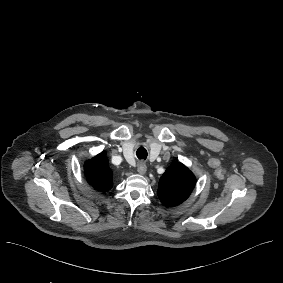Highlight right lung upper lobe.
<instances>
[{
	"instance_id": "obj_1",
	"label": "right lung upper lobe",
	"mask_w": 283,
	"mask_h": 283,
	"mask_svg": "<svg viewBox=\"0 0 283 283\" xmlns=\"http://www.w3.org/2000/svg\"><path fill=\"white\" fill-rule=\"evenodd\" d=\"M85 176L89 184L99 191H107L111 189L112 171L109 168L106 153L102 152L88 160L84 165Z\"/></svg>"
}]
</instances>
